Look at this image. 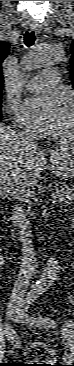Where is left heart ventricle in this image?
<instances>
[{
    "label": "left heart ventricle",
    "instance_id": "obj_1",
    "mask_svg": "<svg viewBox=\"0 0 74 366\" xmlns=\"http://www.w3.org/2000/svg\"><path fill=\"white\" fill-rule=\"evenodd\" d=\"M71 109L67 102L63 103V111L61 117L54 128L53 132L66 136L72 128Z\"/></svg>",
    "mask_w": 74,
    "mask_h": 366
}]
</instances>
